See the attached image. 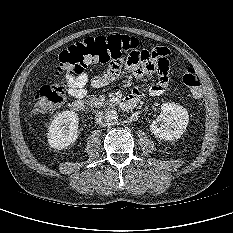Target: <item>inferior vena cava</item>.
Listing matches in <instances>:
<instances>
[{
    "label": "inferior vena cava",
    "mask_w": 233,
    "mask_h": 233,
    "mask_svg": "<svg viewBox=\"0 0 233 233\" xmlns=\"http://www.w3.org/2000/svg\"><path fill=\"white\" fill-rule=\"evenodd\" d=\"M95 120L99 126H106L108 124V120L106 118V115L102 111H99L96 113Z\"/></svg>",
    "instance_id": "obj_1"
}]
</instances>
